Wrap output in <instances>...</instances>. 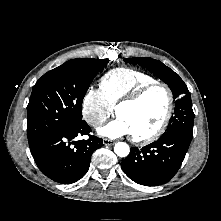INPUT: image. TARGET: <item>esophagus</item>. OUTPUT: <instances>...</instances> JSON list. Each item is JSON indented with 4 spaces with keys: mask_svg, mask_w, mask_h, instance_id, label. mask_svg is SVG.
Wrapping results in <instances>:
<instances>
[{
    "mask_svg": "<svg viewBox=\"0 0 221 221\" xmlns=\"http://www.w3.org/2000/svg\"><path fill=\"white\" fill-rule=\"evenodd\" d=\"M115 142L113 140L110 139H103V144L106 146H111L113 145Z\"/></svg>",
    "mask_w": 221,
    "mask_h": 221,
    "instance_id": "1",
    "label": "esophagus"
}]
</instances>
